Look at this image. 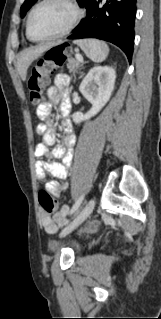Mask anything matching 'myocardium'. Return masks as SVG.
<instances>
[{"mask_svg":"<svg viewBox=\"0 0 161 319\" xmlns=\"http://www.w3.org/2000/svg\"><path fill=\"white\" fill-rule=\"evenodd\" d=\"M53 0H40L35 6L34 8L31 10V12L29 13L28 19H27V36L28 38L33 41V42H47V41H52L58 38H61L63 36H65L66 34H68L76 25L77 21L79 20V18L81 17V9L78 6V4L75 2V0H56V1H60L64 4H66L72 12L71 18L68 21V23L64 26V28L62 30H60L59 32H57L54 35H51L49 37L46 38H34L31 34V21L32 18L35 14V12L45 3L50 2Z\"/></svg>","mask_w":161,"mask_h":319,"instance_id":"myocardium-1","label":"myocardium"}]
</instances>
